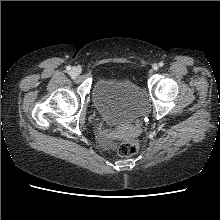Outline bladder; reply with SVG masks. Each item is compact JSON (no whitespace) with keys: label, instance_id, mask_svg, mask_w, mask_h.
Wrapping results in <instances>:
<instances>
[{"label":"bladder","instance_id":"1","mask_svg":"<svg viewBox=\"0 0 220 220\" xmlns=\"http://www.w3.org/2000/svg\"><path fill=\"white\" fill-rule=\"evenodd\" d=\"M92 98L104 118L116 125L130 124L149 111L144 89L128 78L100 77L94 84Z\"/></svg>","mask_w":220,"mask_h":220}]
</instances>
